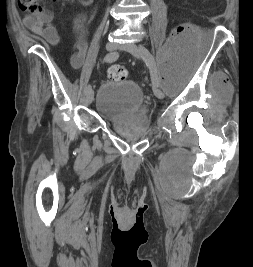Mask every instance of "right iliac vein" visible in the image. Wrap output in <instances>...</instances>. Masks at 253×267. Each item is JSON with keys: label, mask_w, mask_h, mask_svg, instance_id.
<instances>
[{"label": "right iliac vein", "mask_w": 253, "mask_h": 267, "mask_svg": "<svg viewBox=\"0 0 253 267\" xmlns=\"http://www.w3.org/2000/svg\"><path fill=\"white\" fill-rule=\"evenodd\" d=\"M117 47H118V44L113 41L108 42L106 44V50L110 52L116 50ZM93 98H94V92L92 89H90L89 91L86 92V103L91 104Z\"/></svg>", "instance_id": "obj_1"}]
</instances>
